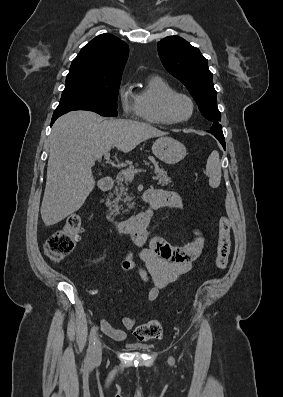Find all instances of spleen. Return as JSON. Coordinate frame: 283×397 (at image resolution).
Listing matches in <instances>:
<instances>
[{
	"label": "spleen",
	"instance_id": "1",
	"mask_svg": "<svg viewBox=\"0 0 283 397\" xmlns=\"http://www.w3.org/2000/svg\"><path fill=\"white\" fill-rule=\"evenodd\" d=\"M206 175L209 177V185L217 188L221 182V164L218 151L214 150L208 157Z\"/></svg>",
	"mask_w": 283,
	"mask_h": 397
}]
</instances>
